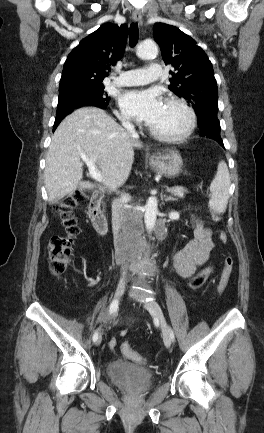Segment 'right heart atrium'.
I'll list each match as a JSON object with an SVG mask.
<instances>
[{
  "label": "right heart atrium",
  "instance_id": "1",
  "mask_svg": "<svg viewBox=\"0 0 264 433\" xmlns=\"http://www.w3.org/2000/svg\"><path fill=\"white\" fill-rule=\"evenodd\" d=\"M118 118L122 123L130 124V118L125 113H118Z\"/></svg>",
  "mask_w": 264,
  "mask_h": 433
}]
</instances>
